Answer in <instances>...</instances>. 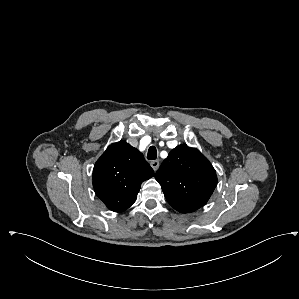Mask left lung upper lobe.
<instances>
[{"label":"left lung upper lobe","instance_id":"1","mask_svg":"<svg viewBox=\"0 0 299 299\" xmlns=\"http://www.w3.org/2000/svg\"><path fill=\"white\" fill-rule=\"evenodd\" d=\"M168 203L182 213L193 212L209 200L216 172L197 149L179 145L170 151L155 174Z\"/></svg>","mask_w":299,"mask_h":299}]
</instances>
